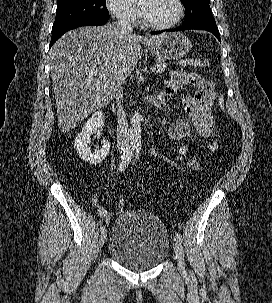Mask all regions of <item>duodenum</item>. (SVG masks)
Segmentation results:
<instances>
[{
  "mask_svg": "<svg viewBox=\"0 0 272 303\" xmlns=\"http://www.w3.org/2000/svg\"><path fill=\"white\" fill-rule=\"evenodd\" d=\"M170 99H171L170 94L165 90H163L159 94L151 97L148 100V103L151 105V107L155 109H160L164 107L170 101Z\"/></svg>",
  "mask_w": 272,
  "mask_h": 303,
  "instance_id": "duodenum-1",
  "label": "duodenum"
}]
</instances>
